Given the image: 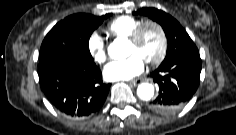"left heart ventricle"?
<instances>
[{
  "instance_id": "1",
  "label": "left heart ventricle",
  "mask_w": 236,
  "mask_h": 135,
  "mask_svg": "<svg viewBox=\"0 0 236 135\" xmlns=\"http://www.w3.org/2000/svg\"><path fill=\"white\" fill-rule=\"evenodd\" d=\"M160 48V36L158 31L152 27L148 26L141 38L138 46H134L128 43V55L137 54L144 61L151 60L156 57Z\"/></svg>"
}]
</instances>
